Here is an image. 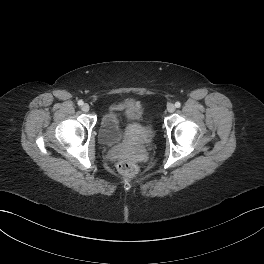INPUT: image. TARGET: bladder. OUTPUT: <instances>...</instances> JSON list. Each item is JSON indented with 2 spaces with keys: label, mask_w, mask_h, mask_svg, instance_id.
<instances>
[{
  "label": "bladder",
  "mask_w": 264,
  "mask_h": 264,
  "mask_svg": "<svg viewBox=\"0 0 264 264\" xmlns=\"http://www.w3.org/2000/svg\"><path fill=\"white\" fill-rule=\"evenodd\" d=\"M137 127L146 138L154 136V128L146 117L145 110L137 104H130L122 114L106 112L99 123L98 136L103 145L123 143L128 137V128Z\"/></svg>",
  "instance_id": "1"
}]
</instances>
